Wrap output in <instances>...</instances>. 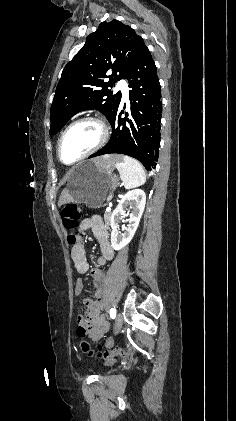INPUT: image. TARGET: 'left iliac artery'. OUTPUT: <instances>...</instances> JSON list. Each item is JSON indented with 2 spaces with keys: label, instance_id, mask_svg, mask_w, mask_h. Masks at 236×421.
I'll return each mask as SVG.
<instances>
[{
  "label": "left iliac artery",
  "instance_id": "left-iliac-artery-1",
  "mask_svg": "<svg viewBox=\"0 0 236 421\" xmlns=\"http://www.w3.org/2000/svg\"><path fill=\"white\" fill-rule=\"evenodd\" d=\"M110 317L112 319H115V317H116V309L115 308L110 309Z\"/></svg>",
  "mask_w": 236,
  "mask_h": 421
}]
</instances>
